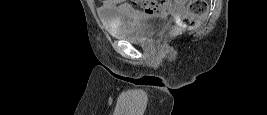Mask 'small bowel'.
Segmentation results:
<instances>
[{"label":"small bowel","instance_id":"1","mask_svg":"<svg viewBox=\"0 0 267 115\" xmlns=\"http://www.w3.org/2000/svg\"><path fill=\"white\" fill-rule=\"evenodd\" d=\"M134 6L130 3L118 4L117 1L106 0L103 4V9H112L117 7L126 17L130 19H137L143 14H163L179 16L185 9L182 2H147V1H135Z\"/></svg>","mask_w":267,"mask_h":115}]
</instances>
